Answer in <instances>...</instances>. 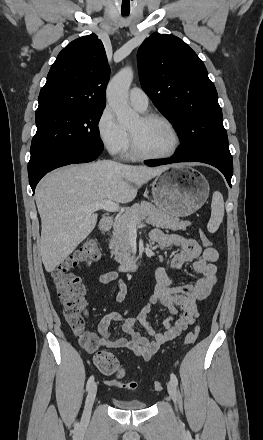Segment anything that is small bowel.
<instances>
[{
  "instance_id": "c3829d8e",
  "label": "small bowel",
  "mask_w": 263,
  "mask_h": 440,
  "mask_svg": "<svg viewBox=\"0 0 263 440\" xmlns=\"http://www.w3.org/2000/svg\"><path fill=\"white\" fill-rule=\"evenodd\" d=\"M150 240L162 250L171 247L179 249L170 263L177 276H182L185 263H191L200 277L193 283L177 286L167 269L162 265L158 266L155 271V291L148 303L136 316H124L119 311H112L102 317L97 326V334H93L94 340L87 347L89 352L100 348H126L144 361H149L164 343L177 338L198 317L199 302L210 294L216 283L217 267L214 263L218 259L217 250L213 247L203 250L194 239L175 233L166 234L158 229L150 232ZM97 281L101 285L116 284L119 288L116 301H125L128 289L118 272H104L97 277ZM156 304L165 306L169 311V315L163 320L164 332L155 330L148 321L152 307ZM112 322L121 323L125 336L109 337ZM137 324L145 334L136 329Z\"/></svg>"
}]
</instances>
